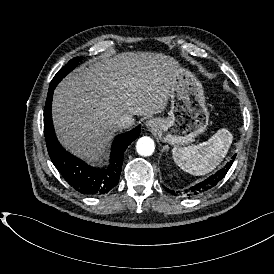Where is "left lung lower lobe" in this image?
Instances as JSON below:
<instances>
[{
  "label": "left lung lower lobe",
  "mask_w": 274,
  "mask_h": 274,
  "mask_svg": "<svg viewBox=\"0 0 274 274\" xmlns=\"http://www.w3.org/2000/svg\"><path fill=\"white\" fill-rule=\"evenodd\" d=\"M236 157V154L232 157L233 159ZM233 163V160L228 162L225 167L220 169L218 172H216L214 175L210 176L208 179L204 180L203 182L193 186L190 188L191 192L195 195L205 192L209 190L210 188L214 187L227 173V170L231 167ZM167 191L170 192L169 189L165 188ZM174 192L172 191V194Z\"/></svg>",
  "instance_id": "left-lung-lower-lobe-1"
}]
</instances>
